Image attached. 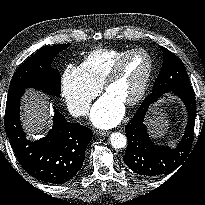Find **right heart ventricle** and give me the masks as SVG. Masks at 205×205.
<instances>
[{
  "label": "right heart ventricle",
  "mask_w": 205,
  "mask_h": 205,
  "mask_svg": "<svg viewBox=\"0 0 205 205\" xmlns=\"http://www.w3.org/2000/svg\"><path fill=\"white\" fill-rule=\"evenodd\" d=\"M131 49H97L89 53L80 68L95 85L100 86L113 65Z\"/></svg>",
  "instance_id": "right-heart-ventricle-1"
}]
</instances>
